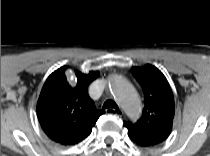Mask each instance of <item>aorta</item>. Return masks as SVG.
Listing matches in <instances>:
<instances>
[{
	"instance_id": "aorta-1",
	"label": "aorta",
	"mask_w": 210,
	"mask_h": 156,
	"mask_svg": "<svg viewBox=\"0 0 210 156\" xmlns=\"http://www.w3.org/2000/svg\"><path fill=\"white\" fill-rule=\"evenodd\" d=\"M110 90L115 99L132 118L140 116L142 104L134 87L124 78L114 76L110 81Z\"/></svg>"
}]
</instances>
